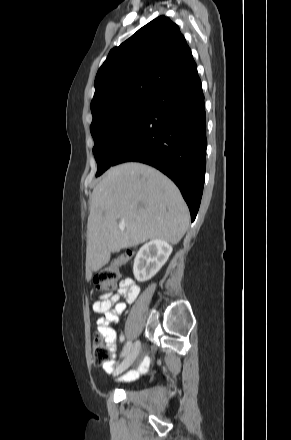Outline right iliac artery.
I'll list each match as a JSON object with an SVG mask.
<instances>
[{"label":"right iliac artery","mask_w":291,"mask_h":440,"mask_svg":"<svg viewBox=\"0 0 291 440\" xmlns=\"http://www.w3.org/2000/svg\"><path fill=\"white\" fill-rule=\"evenodd\" d=\"M131 346H132V342L131 341L126 343V345L123 348L122 354H121L122 357L126 356L129 353V351L131 349Z\"/></svg>","instance_id":"82829eb1"}]
</instances>
